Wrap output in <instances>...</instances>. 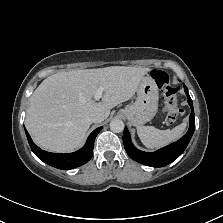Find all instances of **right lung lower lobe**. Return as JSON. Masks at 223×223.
<instances>
[{"mask_svg":"<svg viewBox=\"0 0 223 223\" xmlns=\"http://www.w3.org/2000/svg\"><path fill=\"white\" fill-rule=\"evenodd\" d=\"M101 129L102 127H99L90 134L83 148L69 154H56L46 152L33 143L26 129L25 132L32 151L40 160L55 168L68 170L79 167L91 159L93 155L94 141Z\"/></svg>","mask_w":223,"mask_h":223,"instance_id":"right-lung-lower-lobe-1","label":"right lung lower lobe"}]
</instances>
